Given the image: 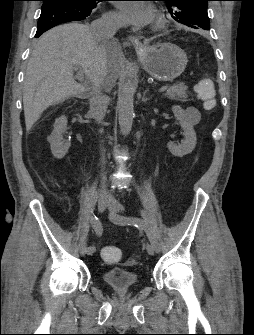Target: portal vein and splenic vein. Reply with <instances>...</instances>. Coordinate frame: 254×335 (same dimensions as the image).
I'll list each match as a JSON object with an SVG mask.
<instances>
[{"label": "portal vein and splenic vein", "instance_id": "18ae733b", "mask_svg": "<svg viewBox=\"0 0 254 335\" xmlns=\"http://www.w3.org/2000/svg\"><path fill=\"white\" fill-rule=\"evenodd\" d=\"M75 67H76V69L79 70L78 73H77V79H78V81L83 82V81H84V75H83V72L81 71V69H80L77 65H75ZM167 88H168V85H163V86L159 89V92L162 93V92L166 91Z\"/></svg>", "mask_w": 254, "mask_h": 335}]
</instances>
